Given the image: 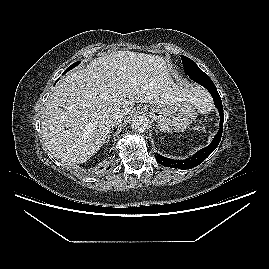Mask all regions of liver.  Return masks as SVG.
<instances>
[{
  "mask_svg": "<svg viewBox=\"0 0 269 269\" xmlns=\"http://www.w3.org/2000/svg\"><path fill=\"white\" fill-rule=\"evenodd\" d=\"M180 102H191L200 111L211 106L210 96L200 86L175 83L162 57L112 52L70 72L55 86L42 117L45 145L66 165L84 163L108 139L110 113L129 115L135 103Z\"/></svg>",
  "mask_w": 269,
  "mask_h": 269,
  "instance_id": "obj_1",
  "label": "liver"
}]
</instances>
